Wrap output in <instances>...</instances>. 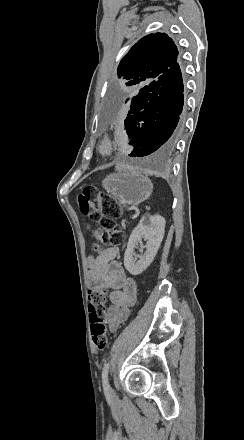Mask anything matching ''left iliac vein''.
I'll return each mask as SVG.
<instances>
[{"label":"left iliac vein","mask_w":244,"mask_h":440,"mask_svg":"<svg viewBox=\"0 0 244 440\" xmlns=\"http://www.w3.org/2000/svg\"><path fill=\"white\" fill-rule=\"evenodd\" d=\"M111 396H114V393H112ZM112 399H114V398H112Z\"/></svg>","instance_id":"left-iliac-vein-1"}]
</instances>
